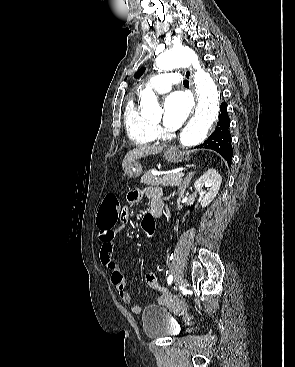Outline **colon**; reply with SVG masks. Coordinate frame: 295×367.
I'll use <instances>...</instances> for the list:
<instances>
[{"mask_svg": "<svg viewBox=\"0 0 295 367\" xmlns=\"http://www.w3.org/2000/svg\"><path fill=\"white\" fill-rule=\"evenodd\" d=\"M121 209L122 207L120 206L119 200L115 195H106L101 203L97 222L105 226L115 224L118 219L120 220ZM140 227L141 230L145 231L146 237L148 239H151L153 235L156 234L154 222L151 218L143 219ZM148 243L150 244L151 242L149 241Z\"/></svg>", "mask_w": 295, "mask_h": 367, "instance_id": "colon-1", "label": "colon"}]
</instances>
